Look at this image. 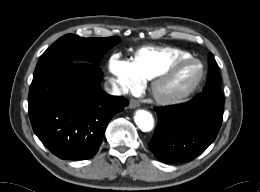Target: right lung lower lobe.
<instances>
[{
  "label": "right lung lower lobe",
  "instance_id": "98d812e1",
  "mask_svg": "<svg viewBox=\"0 0 260 192\" xmlns=\"http://www.w3.org/2000/svg\"><path fill=\"white\" fill-rule=\"evenodd\" d=\"M66 71L65 87L59 80ZM102 71L88 63L60 62L35 74L29 90V117L41 142L61 159H90L110 119L129 102L101 89Z\"/></svg>",
  "mask_w": 260,
  "mask_h": 192
}]
</instances>
